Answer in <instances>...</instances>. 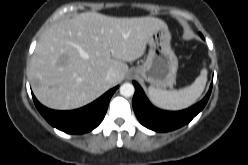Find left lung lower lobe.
Listing matches in <instances>:
<instances>
[{
    "mask_svg": "<svg viewBox=\"0 0 248 165\" xmlns=\"http://www.w3.org/2000/svg\"><path fill=\"white\" fill-rule=\"evenodd\" d=\"M200 36L203 38L202 34ZM135 94L133 97V109L140 123L156 132H167L189 123L206 105L212 90V84L207 95L196 105L177 112L157 109L148 101L142 88L133 81Z\"/></svg>",
    "mask_w": 248,
    "mask_h": 165,
    "instance_id": "0a47b994",
    "label": "left lung lower lobe"
}]
</instances>
